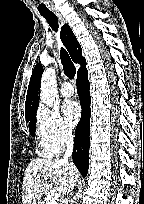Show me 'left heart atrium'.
Listing matches in <instances>:
<instances>
[{"label":"left heart atrium","mask_w":144,"mask_h":204,"mask_svg":"<svg viewBox=\"0 0 144 204\" xmlns=\"http://www.w3.org/2000/svg\"><path fill=\"white\" fill-rule=\"evenodd\" d=\"M62 111L69 125L74 126L78 123L81 116V107L77 101H65L62 105Z\"/></svg>","instance_id":"obj_1"}]
</instances>
